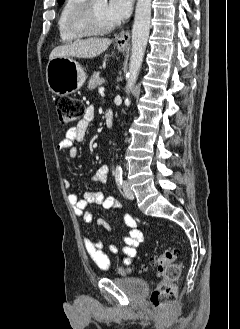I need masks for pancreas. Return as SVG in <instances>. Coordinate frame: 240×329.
<instances>
[{"instance_id": "obj_1", "label": "pancreas", "mask_w": 240, "mask_h": 329, "mask_svg": "<svg viewBox=\"0 0 240 329\" xmlns=\"http://www.w3.org/2000/svg\"><path fill=\"white\" fill-rule=\"evenodd\" d=\"M104 78L99 76L98 72L93 73L89 82H88V89L93 90L104 83Z\"/></svg>"}]
</instances>
